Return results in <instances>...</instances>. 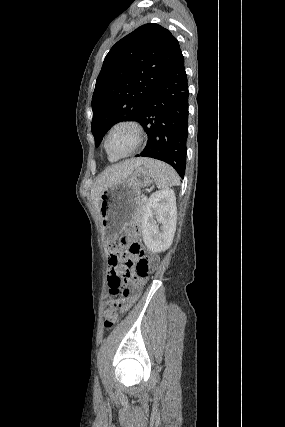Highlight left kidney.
<instances>
[{"label": "left kidney", "instance_id": "obj_1", "mask_svg": "<svg viewBox=\"0 0 285 427\" xmlns=\"http://www.w3.org/2000/svg\"><path fill=\"white\" fill-rule=\"evenodd\" d=\"M176 218L173 190L165 189L151 194L142 218V236L148 250L159 253L170 247L176 230ZM157 223L161 224L160 228Z\"/></svg>", "mask_w": 285, "mask_h": 427}]
</instances>
